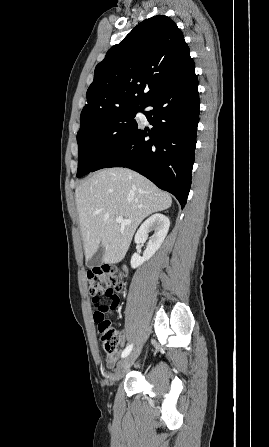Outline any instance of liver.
<instances>
[{"mask_svg": "<svg viewBox=\"0 0 269 447\" xmlns=\"http://www.w3.org/2000/svg\"><path fill=\"white\" fill-rule=\"evenodd\" d=\"M75 198L86 261L103 245V263L121 261L142 220L172 204L170 194L127 168L99 170L76 188ZM118 216L131 224H117Z\"/></svg>", "mask_w": 269, "mask_h": 447, "instance_id": "obj_1", "label": "liver"}]
</instances>
